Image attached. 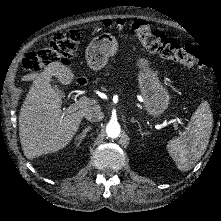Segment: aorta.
I'll list each match as a JSON object with an SVG mask.
<instances>
[{
  "mask_svg": "<svg viewBox=\"0 0 221 221\" xmlns=\"http://www.w3.org/2000/svg\"><path fill=\"white\" fill-rule=\"evenodd\" d=\"M120 132L121 128L118 122H109L108 125L106 126L107 136L111 139L119 137Z\"/></svg>",
  "mask_w": 221,
  "mask_h": 221,
  "instance_id": "1",
  "label": "aorta"
}]
</instances>
